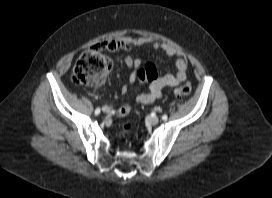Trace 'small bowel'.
<instances>
[{
	"label": "small bowel",
	"mask_w": 272,
	"mask_h": 198,
	"mask_svg": "<svg viewBox=\"0 0 272 198\" xmlns=\"http://www.w3.org/2000/svg\"><path fill=\"white\" fill-rule=\"evenodd\" d=\"M133 47H153L160 50L162 53L175 59V65L177 70L174 73H168L165 75H158L157 73L153 76L139 75L141 70V60L135 56L127 55L124 57L125 64L132 70L129 77V85H134L139 82H148L149 90L146 93H140L136 96V102L138 104H150L157 99L161 98L162 90L165 87H171L183 83L186 80L187 62L184 55L173 48L172 46L165 43H158L154 40L146 37L132 38V37H119L117 39L105 40L98 43L95 49L99 50H130ZM128 90L127 86L122 88V93H126ZM130 111V105L124 104L118 108L116 114L119 116L126 115Z\"/></svg>",
	"instance_id": "small-bowel-1"
}]
</instances>
